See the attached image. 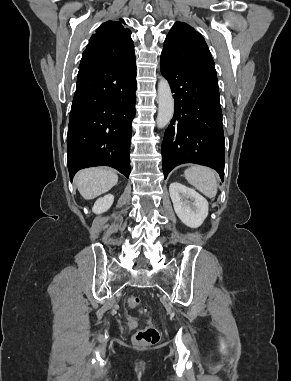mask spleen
Returning a JSON list of instances; mask_svg holds the SVG:
<instances>
[{
  "label": "spleen",
  "instance_id": "1",
  "mask_svg": "<svg viewBox=\"0 0 291 381\" xmlns=\"http://www.w3.org/2000/svg\"><path fill=\"white\" fill-rule=\"evenodd\" d=\"M184 176L191 185L205 196L215 198L217 194V179L212 169L194 165L185 170Z\"/></svg>",
  "mask_w": 291,
  "mask_h": 381
}]
</instances>
